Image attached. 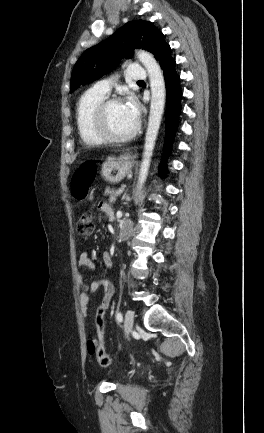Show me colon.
Segmentation results:
<instances>
[{
    "instance_id": "obj_1",
    "label": "colon",
    "mask_w": 264,
    "mask_h": 433,
    "mask_svg": "<svg viewBox=\"0 0 264 433\" xmlns=\"http://www.w3.org/2000/svg\"><path fill=\"white\" fill-rule=\"evenodd\" d=\"M96 173L95 164L86 162L79 166L72 176V193L79 199H86L89 186L92 184ZM94 216L91 212H84L77 223V233L81 237H88L94 231ZM107 306L101 302L95 314V327L98 340L97 360L102 367H108L111 364V358L105 352V314Z\"/></svg>"
}]
</instances>
